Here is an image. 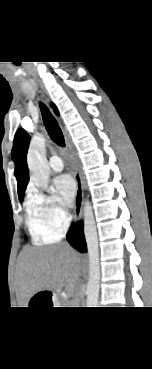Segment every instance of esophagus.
I'll use <instances>...</instances> for the list:
<instances>
[{"label": "esophagus", "mask_w": 152, "mask_h": 369, "mask_svg": "<svg viewBox=\"0 0 152 369\" xmlns=\"http://www.w3.org/2000/svg\"><path fill=\"white\" fill-rule=\"evenodd\" d=\"M65 142H66L67 150L70 153V156L74 163V168H75L74 178L76 181L77 188H76V196H75L74 219H75V223H78L82 216L83 195H84L83 183H82L80 167H79L72 143L68 137H65Z\"/></svg>", "instance_id": "34e87169"}]
</instances>
